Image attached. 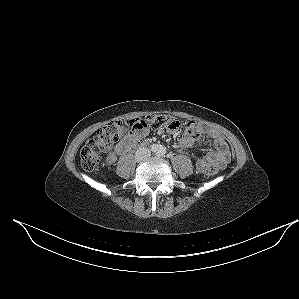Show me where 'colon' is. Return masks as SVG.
<instances>
[{
	"label": "colon",
	"mask_w": 299,
	"mask_h": 299,
	"mask_svg": "<svg viewBox=\"0 0 299 299\" xmlns=\"http://www.w3.org/2000/svg\"><path fill=\"white\" fill-rule=\"evenodd\" d=\"M180 122L164 114H152L144 118H134L125 121H112L98 129L85 143L80 151L81 165L85 170L94 169L100 162L102 152L119 142L130 133H143L148 129L166 128L171 132L180 130ZM184 134L194 138L198 135L195 122L188 121L184 125ZM207 175H214L218 167L209 165L204 169Z\"/></svg>",
	"instance_id": "obj_1"
}]
</instances>
